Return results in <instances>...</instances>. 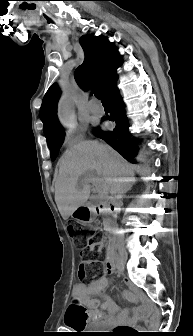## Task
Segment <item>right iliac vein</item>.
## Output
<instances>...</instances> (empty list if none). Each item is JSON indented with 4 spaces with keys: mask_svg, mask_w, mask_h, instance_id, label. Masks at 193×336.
<instances>
[{
    "mask_svg": "<svg viewBox=\"0 0 193 336\" xmlns=\"http://www.w3.org/2000/svg\"><path fill=\"white\" fill-rule=\"evenodd\" d=\"M126 262H127V256L126 255H122V257H121V266H120V264H119V267L121 268V269H123L124 268V265L126 264Z\"/></svg>",
    "mask_w": 193,
    "mask_h": 336,
    "instance_id": "right-iliac-vein-1",
    "label": "right iliac vein"
}]
</instances>
